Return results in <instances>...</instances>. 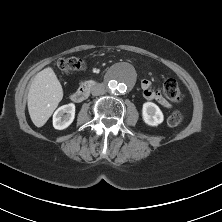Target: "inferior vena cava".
<instances>
[{
    "mask_svg": "<svg viewBox=\"0 0 222 222\" xmlns=\"http://www.w3.org/2000/svg\"><path fill=\"white\" fill-rule=\"evenodd\" d=\"M106 92V87L102 83H98L91 88V93L93 96L103 95Z\"/></svg>",
    "mask_w": 222,
    "mask_h": 222,
    "instance_id": "602c4592",
    "label": "inferior vena cava"
}]
</instances>
